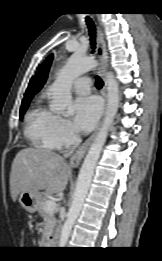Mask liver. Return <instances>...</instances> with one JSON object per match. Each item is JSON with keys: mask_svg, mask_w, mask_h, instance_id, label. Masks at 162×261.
Masks as SVG:
<instances>
[{"mask_svg": "<svg viewBox=\"0 0 162 261\" xmlns=\"http://www.w3.org/2000/svg\"><path fill=\"white\" fill-rule=\"evenodd\" d=\"M71 168L65 159L40 148H25L15 156L10 173V192L13 201L22 192L32 194L45 189L48 194L65 190Z\"/></svg>", "mask_w": 162, "mask_h": 261, "instance_id": "1", "label": "liver"}]
</instances>
